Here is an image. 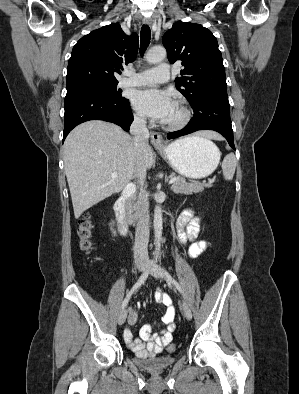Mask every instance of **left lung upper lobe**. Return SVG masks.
<instances>
[{"label":"left lung upper lobe","instance_id":"5c2ea615","mask_svg":"<svg viewBox=\"0 0 299 394\" xmlns=\"http://www.w3.org/2000/svg\"><path fill=\"white\" fill-rule=\"evenodd\" d=\"M171 63L182 61L184 69L175 86L192 105L211 91H227L225 68L217 39L199 24L178 21L163 36Z\"/></svg>","mask_w":299,"mask_h":394}]
</instances>
